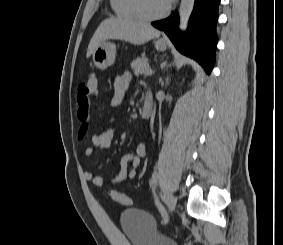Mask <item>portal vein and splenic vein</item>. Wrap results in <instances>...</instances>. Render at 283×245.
Returning <instances> with one entry per match:
<instances>
[{"mask_svg": "<svg viewBox=\"0 0 283 245\" xmlns=\"http://www.w3.org/2000/svg\"><path fill=\"white\" fill-rule=\"evenodd\" d=\"M143 74H144L145 76H149V75H152V74H153V71L147 69Z\"/></svg>", "mask_w": 283, "mask_h": 245, "instance_id": "obj_1", "label": "portal vein and splenic vein"}]
</instances>
